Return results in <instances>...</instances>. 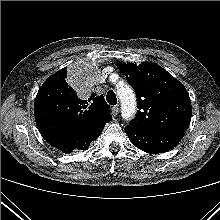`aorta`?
<instances>
[{"instance_id":"1","label":"aorta","mask_w":220,"mask_h":220,"mask_svg":"<svg viewBox=\"0 0 220 220\" xmlns=\"http://www.w3.org/2000/svg\"><path fill=\"white\" fill-rule=\"evenodd\" d=\"M121 101V115L126 121H130L136 114V97L134 91L125 86L117 90Z\"/></svg>"}]
</instances>
